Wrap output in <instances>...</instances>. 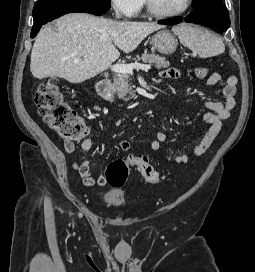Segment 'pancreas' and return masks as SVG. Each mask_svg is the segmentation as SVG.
Masks as SVG:
<instances>
[{"label":"pancreas","instance_id":"1","mask_svg":"<svg viewBox=\"0 0 255 272\" xmlns=\"http://www.w3.org/2000/svg\"><path fill=\"white\" fill-rule=\"evenodd\" d=\"M135 63L143 61L144 63L154 64L157 69L167 68L170 63L165 57L156 54L144 53L134 58ZM113 89L122 100H130L135 97L131 86V78L128 73H118L114 76Z\"/></svg>","mask_w":255,"mask_h":272}]
</instances>
